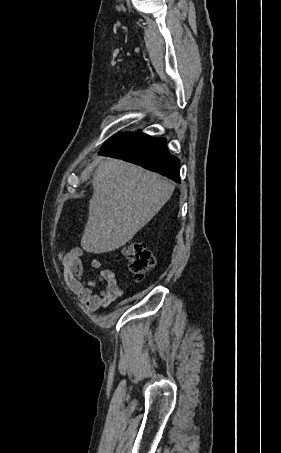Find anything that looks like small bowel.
Returning a JSON list of instances; mask_svg holds the SVG:
<instances>
[{"mask_svg":"<svg viewBox=\"0 0 281 453\" xmlns=\"http://www.w3.org/2000/svg\"><path fill=\"white\" fill-rule=\"evenodd\" d=\"M82 251L72 249L69 252L62 253L59 260L65 269V276L71 287L79 294L81 300L87 304L90 311L107 305L119 297L123 291V284L116 279V274L109 268L99 269L98 278L101 279L105 286L97 291L95 282L82 277L84 263L82 260ZM90 266L94 269L100 268L101 263L97 258L90 259Z\"/></svg>","mask_w":281,"mask_h":453,"instance_id":"obj_1","label":"small bowel"}]
</instances>
